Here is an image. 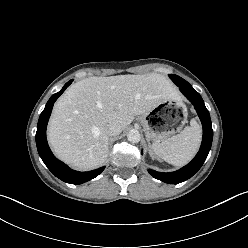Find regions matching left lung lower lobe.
<instances>
[{"label":"left lung lower lobe","mask_w":248,"mask_h":248,"mask_svg":"<svg viewBox=\"0 0 248 248\" xmlns=\"http://www.w3.org/2000/svg\"><path fill=\"white\" fill-rule=\"evenodd\" d=\"M179 88L180 91L187 97V99L194 105V108L198 113L203 127V139L200 150L195 158L188 165L184 166L180 170L171 173H161L152 169L148 170V172L154 178L170 184H178L186 181L201 168L210 151L213 139V130L210 115L207 108L205 107L202 97L192 87Z\"/></svg>","instance_id":"left-lung-lower-lobe-1"}]
</instances>
